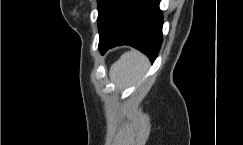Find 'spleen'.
Instances as JSON below:
<instances>
[{
    "mask_svg": "<svg viewBox=\"0 0 243 145\" xmlns=\"http://www.w3.org/2000/svg\"><path fill=\"white\" fill-rule=\"evenodd\" d=\"M149 61L137 50L124 53L110 68V79L117 87H128L139 81L148 69Z\"/></svg>",
    "mask_w": 243,
    "mask_h": 145,
    "instance_id": "obj_1",
    "label": "spleen"
}]
</instances>
